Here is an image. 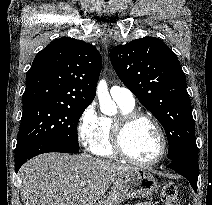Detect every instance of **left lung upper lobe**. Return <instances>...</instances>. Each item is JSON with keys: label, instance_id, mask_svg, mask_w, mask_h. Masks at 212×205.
Returning <instances> with one entry per match:
<instances>
[{"label": "left lung upper lobe", "instance_id": "5c2ea615", "mask_svg": "<svg viewBox=\"0 0 212 205\" xmlns=\"http://www.w3.org/2000/svg\"><path fill=\"white\" fill-rule=\"evenodd\" d=\"M118 77L162 124L171 162L198 155L186 77L177 55L159 38L144 37L113 47Z\"/></svg>", "mask_w": 212, "mask_h": 205}]
</instances>
